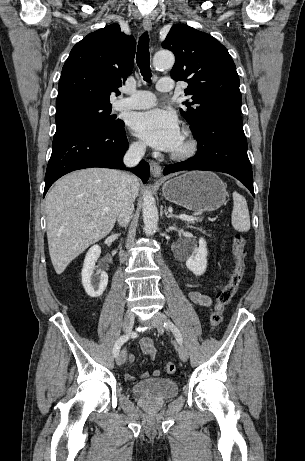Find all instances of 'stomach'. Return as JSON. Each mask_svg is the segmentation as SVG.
I'll return each mask as SVG.
<instances>
[{
	"label": "stomach",
	"mask_w": 305,
	"mask_h": 461,
	"mask_svg": "<svg viewBox=\"0 0 305 461\" xmlns=\"http://www.w3.org/2000/svg\"><path fill=\"white\" fill-rule=\"evenodd\" d=\"M166 200L195 212L214 211L226 200V187L213 172L191 171L167 180L162 187Z\"/></svg>",
	"instance_id": "1"
}]
</instances>
